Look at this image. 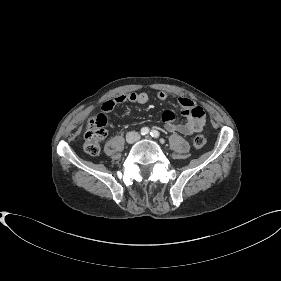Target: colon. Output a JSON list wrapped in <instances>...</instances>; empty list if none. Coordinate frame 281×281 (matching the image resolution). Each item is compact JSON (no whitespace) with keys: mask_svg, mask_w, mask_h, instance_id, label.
Returning <instances> with one entry per match:
<instances>
[{"mask_svg":"<svg viewBox=\"0 0 281 281\" xmlns=\"http://www.w3.org/2000/svg\"><path fill=\"white\" fill-rule=\"evenodd\" d=\"M108 117L105 113L93 115L87 123L84 138V149L92 156L100 153V141L107 135ZM206 139L203 135H196L193 139V144L196 148H201L205 145Z\"/></svg>","mask_w":281,"mask_h":281,"instance_id":"obj_1","label":"colon"}]
</instances>
